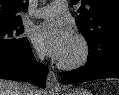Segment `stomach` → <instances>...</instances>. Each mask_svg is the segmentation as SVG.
Segmentation results:
<instances>
[{
	"mask_svg": "<svg viewBox=\"0 0 119 95\" xmlns=\"http://www.w3.org/2000/svg\"><path fill=\"white\" fill-rule=\"evenodd\" d=\"M61 95H91V93L84 89L76 88L73 90L65 91Z\"/></svg>",
	"mask_w": 119,
	"mask_h": 95,
	"instance_id": "0dacf381",
	"label": "stomach"
}]
</instances>
